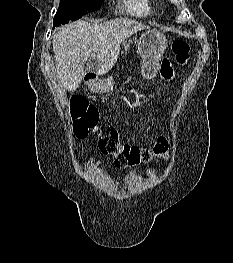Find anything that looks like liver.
Masks as SVG:
<instances>
[{"label": "liver", "mask_w": 233, "mask_h": 263, "mask_svg": "<svg viewBox=\"0 0 233 263\" xmlns=\"http://www.w3.org/2000/svg\"><path fill=\"white\" fill-rule=\"evenodd\" d=\"M148 28L130 18L92 24L80 20L62 26L52 41L60 84L68 91H75L86 74L88 58L92 62L90 71L97 75L108 73L118 59L121 43Z\"/></svg>", "instance_id": "6515ba94"}]
</instances>
